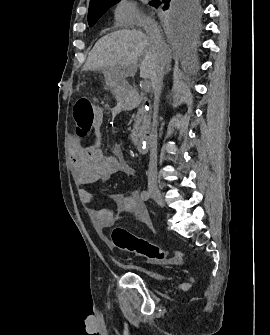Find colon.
I'll list each match as a JSON object with an SVG mask.
<instances>
[{"instance_id": "colon-1", "label": "colon", "mask_w": 270, "mask_h": 335, "mask_svg": "<svg viewBox=\"0 0 270 335\" xmlns=\"http://www.w3.org/2000/svg\"><path fill=\"white\" fill-rule=\"evenodd\" d=\"M75 106L80 109L74 110L76 132L80 136H88L93 127L94 107L88 99H80ZM111 238L117 249L134 253L158 263L165 261L178 263L182 260V252L162 248L147 239L135 235L126 228H114Z\"/></svg>"}]
</instances>
